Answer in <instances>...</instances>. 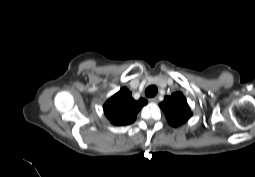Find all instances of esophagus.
Wrapping results in <instances>:
<instances>
[{
    "instance_id": "esophagus-1",
    "label": "esophagus",
    "mask_w": 255,
    "mask_h": 177,
    "mask_svg": "<svg viewBox=\"0 0 255 177\" xmlns=\"http://www.w3.org/2000/svg\"><path fill=\"white\" fill-rule=\"evenodd\" d=\"M150 102H153V103H157L158 102V98L157 97H153L151 99H149Z\"/></svg>"
}]
</instances>
